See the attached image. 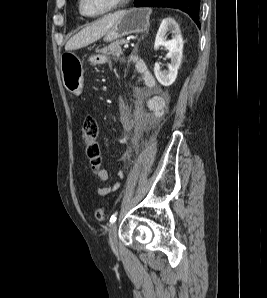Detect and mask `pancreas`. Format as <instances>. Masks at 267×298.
<instances>
[{
	"label": "pancreas",
	"instance_id": "pancreas-1",
	"mask_svg": "<svg viewBox=\"0 0 267 298\" xmlns=\"http://www.w3.org/2000/svg\"><path fill=\"white\" fill-rule=\"evenodd\" d=\"M126 43V40L121 39L118 41H115L108 45L107 47L102 48L101 50H98L106 55H114L119 57L122 53V46Z\"/></svg>",
	"mask_w": 267,
	"mask_h": 298
}]
</instances>
